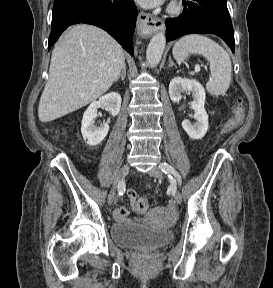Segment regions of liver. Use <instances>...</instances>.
Returning a JSON list of instances; mask_svg holds the SVG:
<instances>
[{"instance_id": "1", "label": "liver", "mask_w": 273, "mask_h": 288, "mask_svg": "<svg viewBox=\"0 0 273 288\" xmlns=\"http://www.w3.org/2000/svg\"><path fill=\"white\" fill-rule=\"evenodd\" d=\"M124 65L123 48L108 33L92 25H74L52 51L39 120L51 122L95 101Z\"/></svg>"}]
</instances>
